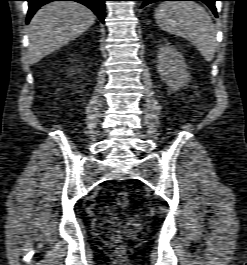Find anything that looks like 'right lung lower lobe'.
Here are the masks:
<instances>
[{
	"mask_svg": "<svg viewBox=\"0 0 247 265\" xmlns=\"http://www.w3.org/2000/svg\"><path fill=\"white\" fill-rule=\"evenodd\" d=\"M29 3V10L26 23L28 24L35 12L44 4L52 1H76L88 8H90L104 24L105 21V1L107 0H27Z\"/></svg>",
	"mask_w": 247,
	"mask_h": 265,
	"instance_id": "obj_1",
	"label": "right lung lower lobe"
}]
</instances>
